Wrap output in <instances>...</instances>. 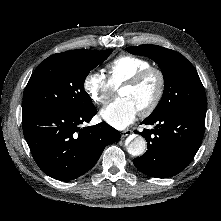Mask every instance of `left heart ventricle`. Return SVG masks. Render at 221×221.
Masks as SVG:
<instances>
[{
  "mask_svg": "<svg viewBox=\"0 0 221 221\" xmlns=\"http://www.w3.org/2000/svg\"><path fill=\"white\" fill-rule=\"evenodd\" d=\"M158 78L152 74L137 86H125L119 89V96L130 99L138 110L146 107L155 97Z\"/></svg>",
  "mask_w": 221,
  "mask_h": 221,
  "instance_id": "left-heart-ventricle-1",
  "label": "left heart ventricle"
}]
</instances>
